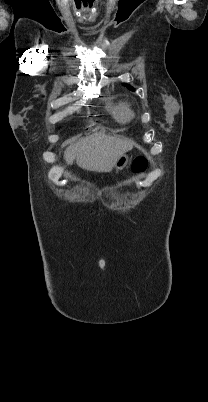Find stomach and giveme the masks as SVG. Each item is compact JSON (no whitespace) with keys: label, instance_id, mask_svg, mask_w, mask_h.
Instances as JSON below:
<instances>
[{"label":"stomach","instance_id":"0dacf381","mask_svg":"<svg viewBox=\"0 0 208 402\" xmlns=\"http://www.w3.org/2000/svg\"><path fill=\"white\" fill-rule=\"evenodd\" d=\"M128 160V156H126V154H122V156H120V158H118V160L115 162V170H123V168H126Z\"/></svg>","mask_w":208,"mask_h":402}]
</instances>
